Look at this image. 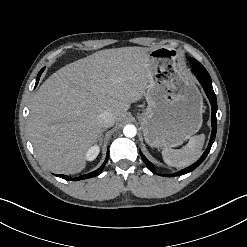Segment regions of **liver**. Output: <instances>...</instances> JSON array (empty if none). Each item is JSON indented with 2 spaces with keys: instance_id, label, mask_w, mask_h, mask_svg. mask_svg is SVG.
Returning <instances> with one entry per match:
<instances>
[{
  "instance_id": "liver-1",
  "label": "liver",
  "mask_w": 247,
  "mask_h": 247,
  "mask_svg": "<svg viewBox=\"0 0 247 247\" xmlns=\"http://www.w3.org/2000/svg\"><path fill=\"white\" fill-rule=\"evenodd\" d=\"M146 47L98 51L52 74L33 95L31 141L39 161L54 173L76 174L102 128L99 115L124 118L145 94L151 79Z\"/></svg>"
}]
</instances>
